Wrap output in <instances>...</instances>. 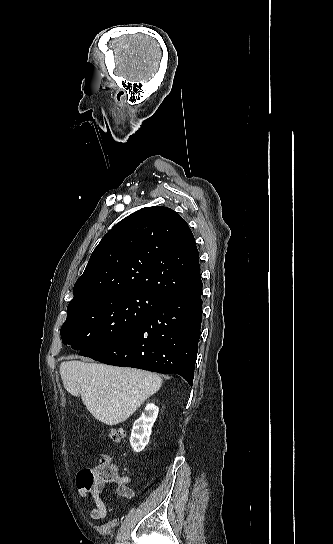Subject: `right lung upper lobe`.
<instances>
[{"label":"right lung upper lobe","instance_id":"right-lung-upper-lobe-1","mask_svg":"<svg viewBox=\"0 0 333 544\" xmlns=\"http://www.w3.org/2000/svg\"><path fill=\"white\" fill-rule=\"evenodd\" d=\"M200 282L199 253L187 222L170 208L145 207L102 238L70 303L131 292L165 299Z\"/></svg>","mask_w":333,"mask_h":544}]
</instances>
